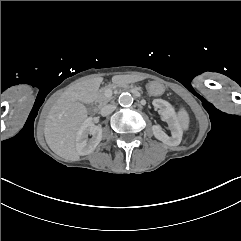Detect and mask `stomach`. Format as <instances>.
<instances>
[{"label":"stomach","mask_w":241,"mask_h":241,"mask_svg":"<svg viewBox=\"0 0 241 241\" xmlns=\"http://www.w3.org/2000/svg\"><path fill=\"white\" fill-rule=\"evenodd\" d=\"M147 90H148L149 94L152 96H160L164 93L165 87L159 81H150L147 84Z\"/></svg>","instance_id":"0dacf381"}]
</instances>
